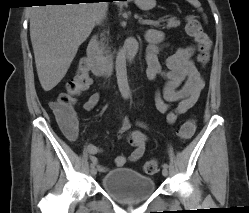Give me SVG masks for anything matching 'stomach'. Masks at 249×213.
Returning a JSON list of instances; mask_svg holds the SVG:
<instances>
[{"label": "stomach", "mask_w": 249, "mask_h": 213, "mask_svg": "<svg viewBox=\"0 0 249 213\" xmlns=\"http://www.w3.org/2000/svg\"><path fill=\"white\" fill-rule=\"evenodd\" d=\"M136 5L141 9H151L155 6V0H135Z\"/></svg>", "instance_id": "0dacf381"}]
</instances>
